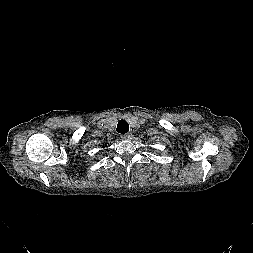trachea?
<instances>
[{"mask_svg":"<svg viewBox=\"0 0 253 253\" xmlns=\"http://www.w3.org/2000/svg\"><path fill=\"white\" fill-rule=\"evenodd\" d=\"M116 130L121 134H125L129 131V124L125 120H120Z\"/></svg>","mask_w":253,"mask_h":253,"instance_id":"3493384b","label":"trachea"}]
</instances>
